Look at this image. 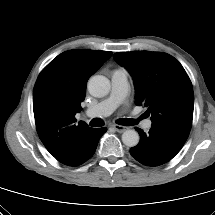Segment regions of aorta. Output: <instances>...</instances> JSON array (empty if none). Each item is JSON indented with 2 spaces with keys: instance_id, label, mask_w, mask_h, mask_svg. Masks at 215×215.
Returning a JSON list of instances; mask_svg holds the SVG:
<instances>
[{
  "instance_id": "obj_1",
  "label": "aorta",
  "mask_w": 215,
  "mask_h": 215,
  "mask_svg": "<svg viewBox=\"0 0 215 215\" xmlns=\"http://www.w3.org/2000/svg\"><path fill=\"white\" fill-rule=\"evenodd\" d=\"M88 91L94 97H104L110 91V81L102 75H95L88 81ZM122 142L128 147H134L139 143V134L136 130L128 129L122 134Z\"/></svg>"
}]
</instances>
